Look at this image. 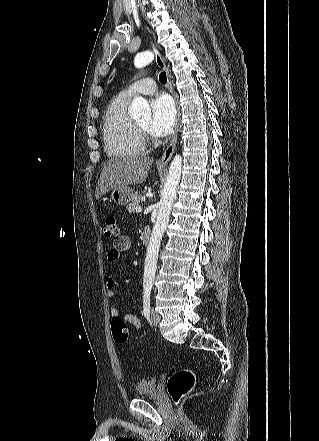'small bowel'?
I'll return each instance as SVG.
<instances>
[{
    "instance_id": "1",
    "label": "small bowel",
    "mask_w": 319,
    "mask_h": 441,
    "mask_svg": "<svg viewBox=\"0 0 319 441\" xmlns=\"http://www.w3.org/2000/svg\"><path fill=\"white\" fill-rule=\"evenodd\" d=\"M130 239L126 236H121L118 240H116L113 244V248H111L107 252V259L109 262L114 263L117 262L120 258L122 252H125L130 247ZM117 286L116 280L108 275L106 277V294L108 298H113L115 296V288ZM111 317L115 318L119 315V310L117 307L112 306L110 308ZM124 320L131 324L135 329L140 330L142 328L141 321L133 314H126L124 316Z\"/></svg>"
}]
</instances>
